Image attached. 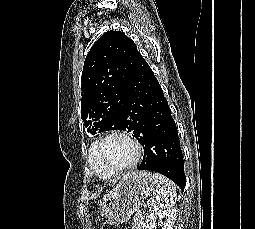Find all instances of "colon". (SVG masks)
Instances as JSON below:
<instances>
[{"mask_svg": "<svg viewBox=\"0 0 255 229\" xmlns=\"http://www.w3.org/2000/svg\"><path fill=\"white\" fill-rule=\"evenodd\" d=\"M102 229H118V228L114 223L107 222Z\"/></svg>", "mask_w": 255, "mask_h": 229, "instance_id": "colon-1", "label": "colon"}]
</instances>
